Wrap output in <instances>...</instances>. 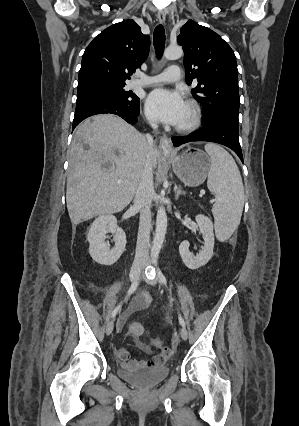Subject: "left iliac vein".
<instances>
[{
  "mask_svg": "<svg viewBox=\"0 0 299 426\" xmlns=\"http://www.w3.org/2000/svg\"><path fill=\"white\" fill-rule=\"evenodd\" d=\"M149 271H151L152 272V266H148V268H147ZM143 279L147 282V283H149L150 285H156L157 283H158V277L157 276H155V274L152 272V278H148L145 274H143ZM180 335H181V338L183 339V340H186L187 339V337H188V332H187V330H186V328L185 327H182L181 328V330H180Z\"/></svg>",
  "mask_w": 299,
  "mask_h": 426,
  "instance_id": "4c4485c4",
  "label": "left iliac vein"
}]
</instances>
